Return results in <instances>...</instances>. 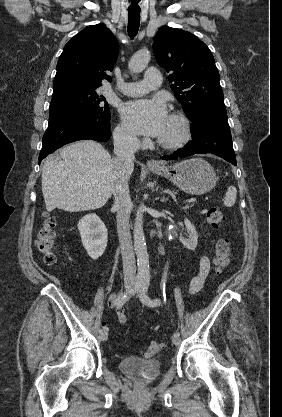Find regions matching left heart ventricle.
Here are the masks:
<instances>
[{
	"label": "left heart ventricle",
	"mask_w": 282,
	"mask_h": 417,
	"mask_svg": "<svg viewBox=\"0 0 282 417\" xmlns=\"http://www.w3.org/2000/svg\"><path fill=\"white\" fill-rule=\"evenodd\" d=\"M178 133H179V127H178L177 122L171 119L170 117H168L165 128L163 129L159 137L166 139V140H170V139L175 138L178 135Z\"/></svg>",
	"instance_id": "1"
}]
</instances>
